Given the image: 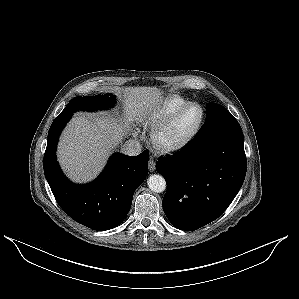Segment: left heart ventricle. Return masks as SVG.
Returning a JSON list of instances; mask_svg holds the SVG:
<instances>
[{
  "label": "left heart ventricle",
  "instance_id": "obj_1",
  "mask_svg": "<svg viewBox=\"0 0 299 299\" xmlns=\"http://www.w3.org/2000/svg\"><path fill=\"white\" fill-rule=\"evenodd\" d=\"M201 110L197 106H190L184 110L159 137L162 145L171 146L182 142L198 125Z\"/></svg>",
  "mask_w": 299,
  "mask_h": 299
}]
</instances>
